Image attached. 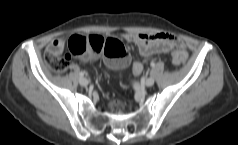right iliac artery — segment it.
Wrapping results in <instances>:
<instances>
[{
  "label": "right iliac artery",
  "instance_id": "1",
  "mask_svg": "<svg viewBox=\"0 0 238 145\" xmlns=\"http://www.w3.org/2000/svg\"><path fill=\"white\" fill-rule=\"evenodd\" d=\"M86 73L85 72H80V76L83 77Z\"/></svg>",
  "mask_w": 238,
  "mask_h": 145
}]
</instances>
